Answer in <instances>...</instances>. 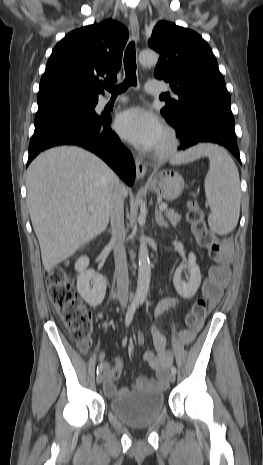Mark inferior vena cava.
<instances>
[{
  "label": "inferior vena cava",
  "mask_w": 263,
  "mask_h": 465,
  "mask_svg": "<svg viewBox=\"0 0 263 465\" xmlns=\"http://www.w3.org/2000/svg\"><path fill=\"white\" fill-rule=\"evenodd\" d=\"M111 240L114 248L115 274L117 278V292L121 306L128 304L129 298V276L127 268V257L124 247V187L118 186L112 196L110 205Z\"/></svg>",
  "instance_id": "inferior-vena-cava-1"
}]
</instances>
